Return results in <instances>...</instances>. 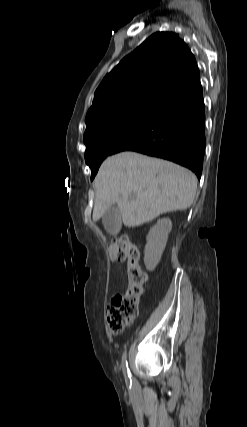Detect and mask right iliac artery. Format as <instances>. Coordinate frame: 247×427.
<instances>
[{"label": "right iliac artery", "mask_w": 247, "mask_h": 427, "mask_svg": "<svg viewBox=\"0 0 247 427\" xmlns=\"http://www.w3.org/2000/svg\"><path fill=\"white\" fill-rule=\"evenodd\" d=\"M126 355H127V353L125 351L123 353L121 366H122V370H123V373H124L126 381L128 380V381L131 382V374H130V370L128 368V363H127Z\"/></svg>", "instance_id": "obj_1"}]
</instances>
